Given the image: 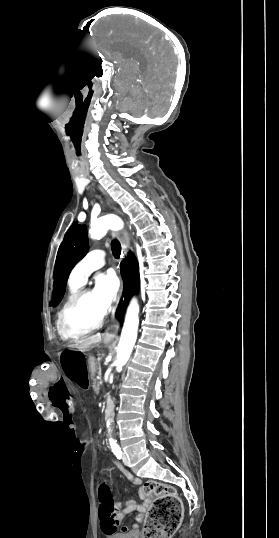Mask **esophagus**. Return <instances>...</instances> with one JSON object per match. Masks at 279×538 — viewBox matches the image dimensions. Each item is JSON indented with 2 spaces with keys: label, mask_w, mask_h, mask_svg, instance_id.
<instances>
[{
  "label": "esophagus",
  "mask_w": 279,
  "mask_h": 538,
  "mask_svg": "<svg viewBox=\"0 0 279 538\" xmlns=\"http://www.w3.org/2000/svg\"><path fill=\"white\" fill-rule=\"evenodd\" d=\"M100 190L103 191L101 187H100ZM120 239H121V245H122L123 253H124V255H126L127 254V248H128V246L130 244L129 234H128L126 229H123L120 232ZM122 290H123V284L121 285V288H120V291H119V294H118L117 303L112 309L111 322L109 323L108 327L106 328V330H105V332L103 334L104 339H114V338L117 337L119 325L115 321L114 314H115L116 308L118 306V302L120 300Z\"/></svg>",
  "instance_id": "obj_1"
}]
</instances>
